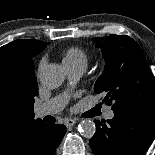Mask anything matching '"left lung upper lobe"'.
<instances>
[{"label":"left lung upper lobe","mask_w":155,"mask_h":155,"mask_svg":"<svg viewBox=\"0 0 155 155\" xmlns=\"http://www.w3.org/2000/svg\"><path fill=\"white\" fill-rule=\"evenodd\" d=\"M102 48L105 70L95 83V92L114 112L139 105H155V77L144 54L132 38L109 35L93 39Z\"/></svg>","instance_id":"1"}]
</instances>
